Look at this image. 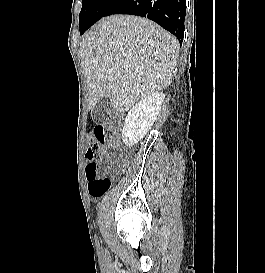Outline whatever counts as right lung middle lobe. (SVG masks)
Instances as JSON below:
<instances>
[{"mask_svg": "<svg viewBox=\"0 0 265 273\" xmlns=\"http://www.w3.org/2000/svg\"><path fill=\"white\" fill-rule=\"evenodd\" d=\"M115 0H82L79 15L80 34H83L96 21L104 17Z\"/></svg>", "mask_w": 265, "mask_h": 273, "instance_id": "dd1d6c3e", "label": "right lung middle lobe"}]
</instances>
